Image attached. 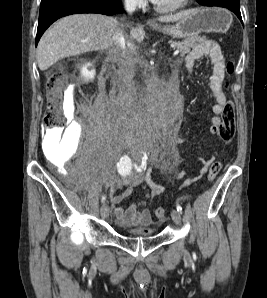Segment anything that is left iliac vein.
<instances>
[{
    "mask_svg": "<svg viewBox=\"0 0 267 298\" xmlns=\"http://www.w3.org/2000/svg\"><path fill=\"white\" fill-rule=\"evenodd\" d=\"M171 217L177 225H181V216L177 210H172Z\"/></svg>",
    "mask_w": 267,
    "mask_h": 298,
    "instance_id": "4c4485c4",
    "label": "left iliac vein"
}]
</instances>
